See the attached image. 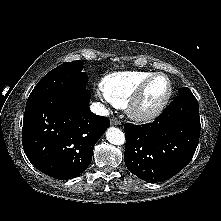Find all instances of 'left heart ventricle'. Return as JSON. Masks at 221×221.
Returning <instances> with one entry per match:
<instances>
[{
  "label": "left heart ventricle",
  "instance_id": "left-heart-ventricle-1",
  "mask_svg": "<svg viewBox=\"0 0 221 221\" xmlns=\"http://www.w3.org/2000/svg\"><path fill=\"white\" fill-rule=\"evenodd\" d=\"M168 91V82L164 77L155 78L149 85L142 102L143 110H150L156 107L165 97Z\"/></svg>",
  "mask_w": 221,
  "mask_h": 221
}]
</instances>
